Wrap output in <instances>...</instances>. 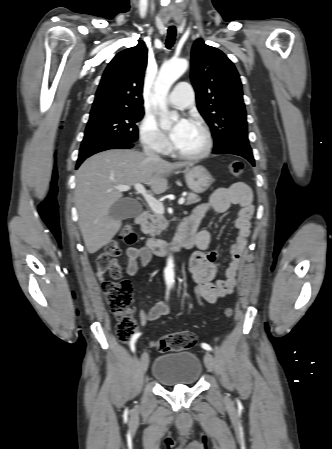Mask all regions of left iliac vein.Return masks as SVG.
Returning <instances> with one entry per match:
<instances>
[{
    "label": "left iliac vein",
    "instance_id": "left-iliac-vein-1",
    "mask_svg": "<svg viewBox=\"0 0 332 449\" xmlns=\"http://www.w3.org/2000/svg\"><path fill=\"white\" fill-rule=\"evenodd\" d=\"M204 362L207 369L211 372L217 371V365L214 356L210 352H206L204 356Z\"/></svg>",
    "mask_w": 332,
    "mask_h": 449
}]
</instances>
